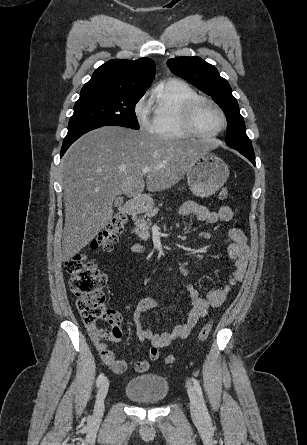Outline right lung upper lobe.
<instances>
[{
  "instance_id": "cb5924a9",
  "label": "right lung upper lobe",
  "mask_w": 307,
  "mask_h": 445,
  "mask_svg": "<svg viewBox=\"0 0 307 445\" xmlns=\"http://www.w3.org/2000/svg\"><path fill=\"white\" fill-rule=\"evenodd\" d=\"M155 76V63L141 58L115 59L101 65L83 86L80 96L121 95L142 97Z\"/></svg>"
}]
</instances>
